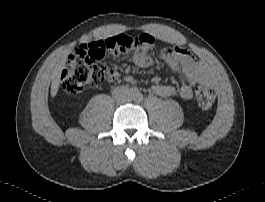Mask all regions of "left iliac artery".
I'll return each instance as SVG.
<instances>
[{"label": "left iliac artery", "mask_w": 265, "mask_h": 202, "mask_svg": "<svg viewBox=\"0 0 265 202\" xmlns=\"http://www.w3.org/2000/svg\"><path fill=\"white\" fill-rule=\"evenodd\" d=\"M142 99H143V97L140 95V96L138 97V100L141 101Z\"/></svg>", "instance_id": "1"}]
</instances>
